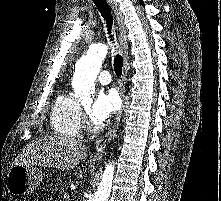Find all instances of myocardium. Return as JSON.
<instances>
[{
  "label": "myocardium",
  "mask_w": 221,
  "mask_h": 201,
  "mask_svg": "<svg viewBox=\"0 0 221 201\" xmlns=\"http://www.w3.org/2000/svg\"><path fill=\"white\" fill-rule=\"evenodd\" d=\"M82 125L88 131H96L100 129V126L91 121L87 114H83Z\"/></svg>",
  "instance_id": "1"
}]
</instances>
